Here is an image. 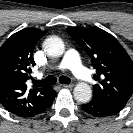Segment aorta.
<instances>
[{"mask_svg": "<svg viewBox=\"0 0 133 133\" xmlns=\"http://www.w3.org/2000/svg\"><path fill=\"white\" fill-rule=\"evenodd\" d=\"M45 52L53 57H60L65 51V45L61 38L51 36L43 43ZM74 98L81 103H87L92 97L91 87L84 82L78 83L73 91Z\"/></svg>", "mask_w": 133, "mask_h": 133, "instance_id": "obj_1", "label": "aorta"}]
</instances>
